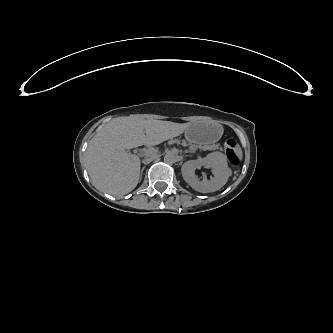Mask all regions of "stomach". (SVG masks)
I'll list each match as a JSON object with an SVG mask.
<instances>
[{
  "instance_id": "0dacf381",
  "label": "stomach",
  "mask_w": 333,
  "mask_h": 333,
  "mask_svg": "<svg viewBox=\"0 0 333 333\" xmlns=\"http://www.w3.org/2000/svg\"><path fill=\"white\" fill-rule=\"evenodd\" d=\"M186 139L190 143H194V144L199 143L197 140L193 139L190 134L186 135Z\"/></svg>"
}]
</instances>
